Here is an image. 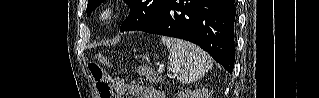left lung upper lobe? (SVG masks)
<instances>
[{
	"mask_svg": "<svg viewBox=\"0 0 319 98\" xmlns=\"http://www.w3.org/2000/svg\"><path fill=\"white\" fill-rule=\"evenodd\" d=\"M103 0H88L87 15L98 7ZM130 6V14L122 23L120 31L137 30L150 22L158 13L164 0H124Z\"/></svg>",
	"mask_w": 319,
	"mask_h": 98,
	"instance_id": "obj_1",
	"label": "left lung upper lobe"
}]
</instances>
